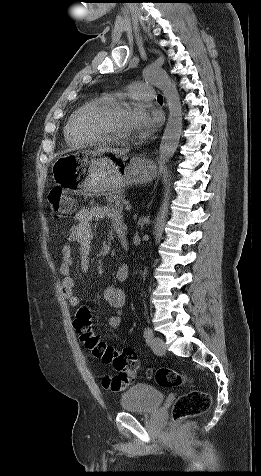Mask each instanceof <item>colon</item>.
Here are the masks:
<instances>
[{
    "instance_id": "obj_1",
    "label": "colon",
    "mask_w": 261,
    "mask_h": 476,
    "mask_svg": "<svg viewBox=\"0 0 261 476\" xmlns=\"http://www.w3.org/2000/svg\"><path fill=\"white\" fill-rule=\"evenodd\" d=\"M50 213L53 217L61 218L70 214L73 202L61 187H54L48 194ZM74 326L85 347L103 362L112 364L118 372L115 376H105L102 379L104 388L120 392L134 381L139 367L138 356L131 348L116 349L103 341L92 328V314L87 307L78 310ZM158 385L165 388L178 387L187 381L182 373L170 368H159L154 373ZM211 404L210 395L203 390H192L181 395L173 405L172 416L175 421L197 416L206 412Z\"/></svg>"
}]
</instances>
